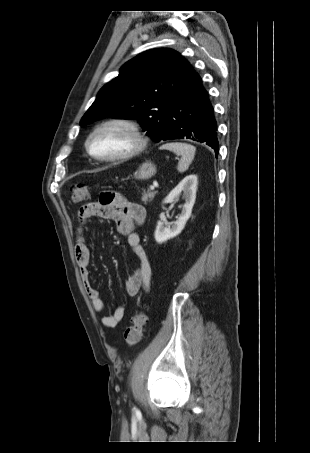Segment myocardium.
Returning <instances> with one entry per match:
<instances>
[{
    "label": "myocardium",
    "instance_id": "f54148a6",
    "mask_svg": "<svg viewBox=\"0 0 310 453\" xmlns=\"http://www.w3.org/2000/svg\"><path fill=\"white\" fill-rule=\"evenodd\" d=\"M110 127H121L124 128L126 131L129 132L133 139V147L123 153L112 155V156H100L95 154L90 146L92 138L100 133L101 131L110 128ZM147 146V138L143 134L140 126L133 120L126 119V118H114V119H109L106 120L100 124H98L87 136L86 141H85V149L89 156L98 161V162H104V163H109V162H117V161H123L130 159L132 157L137 156L140 154L142 151Z\"/></svg>",
    "mask_w": 310,
    "mask_h": 453
}]
</instances>
